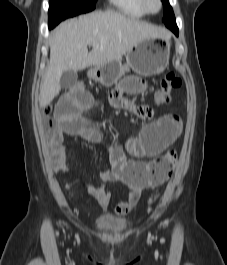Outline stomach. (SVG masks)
Masks as SVG:
<instances>
[{"instance_id": "obj_1", "label": "stomach", "mask_w": 227, "mask_h": 265, "mask_svg": "<svg viewBox=\"0 0 227 265\" xmlns=\"http://www.w3.org/2000/svg\"><path fill=\"white\" fill-rule=\"evenodd\" d=\"M170 44L158 38L145 39L126 53V63L115 60L102 66H96L87 73L88 77L104 86H112L126 72L132 69L142 76L162 73L169 64Z\"/></svg>"}]
</instances>
